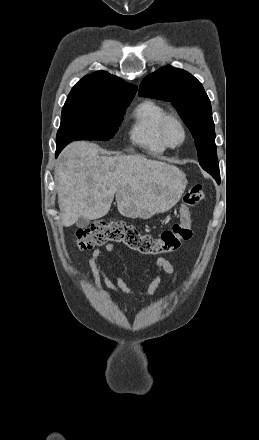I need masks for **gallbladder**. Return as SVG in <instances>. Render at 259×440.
<instances>
[{"label":"gallbladder","instance_id":"1","mask_svg":"<svg viewBox=\"0 0 259 440\" xmlns=\"http://www.w3.org/2000/svg\"><path fill=\"white\" fill-rule=\"evenodd\" d=\"M90 223V220L85 218V217H80L77 221H76V226L79 228H86Z\"/></svg>","mask_w":259,"mask_h":440}]
</instances>
